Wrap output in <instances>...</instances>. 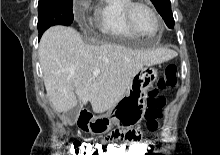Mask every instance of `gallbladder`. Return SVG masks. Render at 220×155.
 Listing matches in <instances>:
<instances>
[{
    "label": "gallbladder",
    "instance_id": "gallbladder-1",
    "mask_svg": "<svg viewBox=\"0 0 220 155\" xmlns=\"http://www.w3.org/2000/svg\"><path fill=\"white\" fill-rule=\"evenodd\" d=\"M79 111H80V106L76 105L74 108L70 109L66 113V118L68 119L70 124H74L76 122Z\"/></svg>",
    "mask_w": 220,
    "mask_h": 155
}]
</instances>
